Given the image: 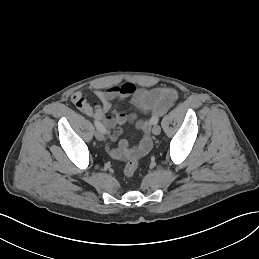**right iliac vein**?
<instances>
[{
	"mask_svg": "<svg viewBox=\"0 0 259 259\" xmlns=\"http://www.w3.org/2000/svg\"><path fill=\"white\" fill-rule=\"evenodd\" d=\"M95 137H96V139L99 140V141H101V140L104 139L103 133H102L100 130H98V129L95 131Z\"/></svg>",
	"mask_w": 259,
	"mask_h": 259,
	"instance_id": "right-iliac-vein-1",
	"label": "right iliac vein"
}]
</instances>
